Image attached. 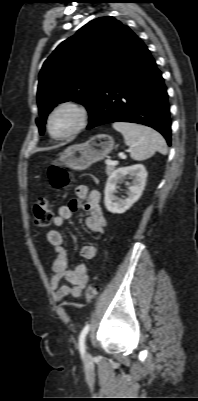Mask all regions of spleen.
I'll use <instances>...</instances> for the list:
<instances>
[{"instance_id":"1","label":"spleen","mask_w":198,"mask_h":401,"mask_svg":"<svg viewBox=\"0 0 198 401\" xmlns=\"http://www.w3.org/2000/svg\"><path fill=\"white\" fill-rule=\"evenodd\" d=\"M113 128L122 133L126 145L130 148L131 158L142 161L159 152L167 154L165 139L157 131L142 125L126 122H115Z\"/></svg>"}]
</instances>
